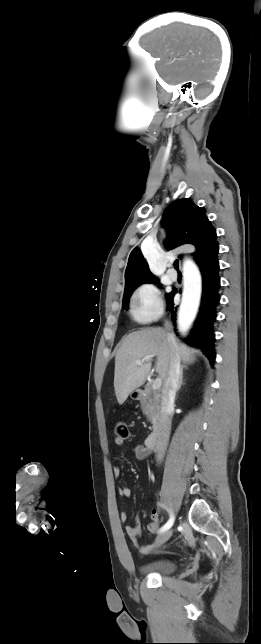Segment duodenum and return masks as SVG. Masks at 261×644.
<instances>
[{"mask_svg": "<svg viewBox=\"0 0 261 644\" xmlns=\"http://www.w3.org/2000/svg\"><path fill=\"white\" fill-rule=\"evenodd\" d=\"M136 399L139 401L149 400V396L143 390L137 391ZM151 400V399H150ZM155 428L151 434L146 438L145 444L149 449H155L159 445L161 428H162V414L158 406L153 405L152 411Z\"/></svg>", "mask_w": 261, "mask_h": 644, "instance_id": "obj_1", "label": "duodenum"}]
</instances>
